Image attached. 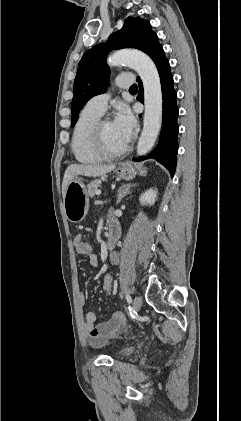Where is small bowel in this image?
<instances>
[{
	"label": "small bowel",
	"mask_w": 241,
	"mask_h": 421,
	"mask_svg": "<svg viewBox=\"0 0 241 421\" xmlns=\"http://www.w3.org/2000/svg\"><path fill=\"white\" fill-rule=\"evenodd\" d=\"M83 241L81 234H78L74 237L73 243L75 247L78 246L80 242ZM89 259V263L92 267L98 265V257L94 253L90 252L86 254ZM110 262L117 264L119 260L118 253L112 252L109 256ZM79 300L81 303H84L85 296L83 293L79 294ZM96 314L93 311H89L85 315V330L87 333V341L90 346L95 348H100L105 346L109 338L117 337L118 334L123 330H127V320L126 317L120 313L115 312L112 317L104 322H101L95 325Z\"/></svg>",
	"instance_id": "c3829d8e"
}]
</instances>
